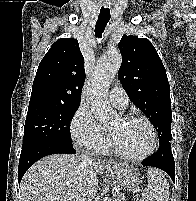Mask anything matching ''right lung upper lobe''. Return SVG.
Segmentation results:
<instances>
[{
    "mask_svg": "<svg viewBox=\"0 0 196 201\" xmlns=\"http://www.w3.org/2000/svg\"><path fill=\"white\" fill-rule=\"evenodd\" d=\"M84 81V58L78 41L74 38L59 39L38 66L30 102L80 104Z\"/></svg>",
    "mask_w": 196,
    "mask_h": 201,
    "instance_id": "obj_1",
    "label": "right lung upper lobe"
}]
</instances>
